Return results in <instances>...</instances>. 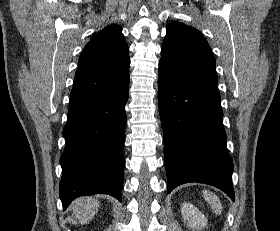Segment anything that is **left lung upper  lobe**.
Instances as JSON below:
<instances>
[{
    "instance_id": "obj_1",
    "label": "left lung upper lobe",
    "mask_w": 280,
    "mask_h": 231,
    "mask_svg": "<svg viewBox=\"0 0 280 231\" xmlns=\"http://www.w3.org/2000/svg\"><path fill=\"white\" fill-rule=\"evenodd\" d=\"M159 72L179 82L217 84L215 58L203 35L193 27L172 22L162 45Z\"/></svg>"
}]
</instances>
